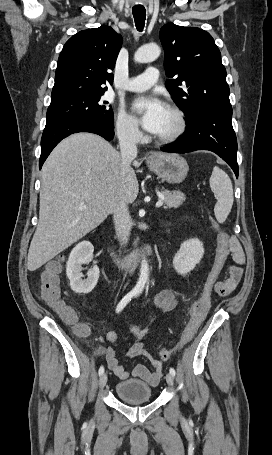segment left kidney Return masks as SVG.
<instances>
[{
	"label": "left kidney",
	"mask_w": 272,
	"mask_h": 455,
	"mask_svg": "<svg viewBox=\"0 0 272 455\" xmlns=\"http://www.w3.org/2000/svg\"><path fill=\"white\" fill-rule=\"evenodd\" d=\"M203 254V244L199 239L194 238L183 242L173 258L174 269L178 274H187L200 262Z\"/></svg>",
	"instance_id": "1"
}]
</instances>
